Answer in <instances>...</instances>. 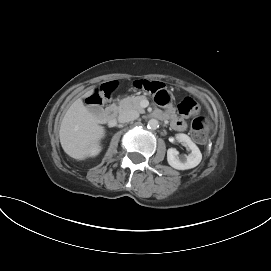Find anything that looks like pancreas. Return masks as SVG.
I'll return each mask as SVG.
<instances>
[{
    "instance_id": "1",
    "label": "pancreas",
    "mask_w": 271,
    "mask_h": 271,
    "mask_svg": "<svg viewBox=\"0 0 271 271\" xmlns=\"http://www.w3.org/2000/svg\"><path fill=\"white\" fill-rule=\"evenodd\" d=\"M146 97L141 96H128L119 101L118 106H116V110L121 113L127 110H133L138 113H144V109L141 107L140 102Z\"/></svg>"
}]
</instances>
